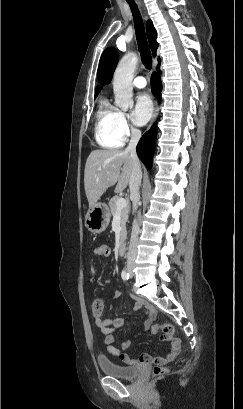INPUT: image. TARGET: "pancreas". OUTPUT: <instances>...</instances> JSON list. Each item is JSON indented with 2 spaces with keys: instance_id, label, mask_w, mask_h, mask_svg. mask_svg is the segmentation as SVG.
I'll return each mask as SVG.
<instances>
[{
  "instance_id": "pancreas-1",
  "label": "pancreas",
  "mask_w": 243,
  "mask_h": 409,
  "mask_svg": "<svg viewBox=\"0 0 243 409\" xmlns=\"http://www.w3.org/2000/svg\"><path fill=\"white\" fill-rule=\"evenodd\" d=\"M119 198H120L119 196H114L113 198H111L109 201V207H110V211L112 215H115L118 211H120V215H121L120 224L122 228L121 240H123L125 236L126 222L128 221L129 206H126L121 210H117L116 202L118 201Z\"/></svg>"
}]
</instances>
